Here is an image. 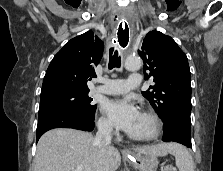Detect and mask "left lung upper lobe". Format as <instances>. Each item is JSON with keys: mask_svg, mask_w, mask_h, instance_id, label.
Returning a JSON list of instances; mask_svg holds the SVG:
<instances>
[{"mask_svg": "<svg viewBox=\"0 0 223 171\" xmlns=\"http://www.w3.org/2000/svg\"><path fill=\"white\" fill-rule=\"evenodd\" d=\"M138 53L144 61L145 79L155 82L152 91L142 94L162 121L175 115L190 120V69L185 53L170 36L155 30L146 34Z\"/></svg>", "mask_w": 223, "mask_h": 171, "instance_id": "left-lung-upper-lobe-1", "label": "left lung upper lobe"}]
</instances>
